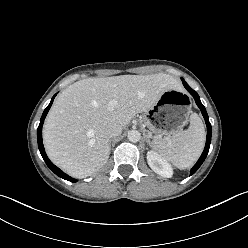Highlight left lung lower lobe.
I'll use <instances>...</instances> for the list:
<instances>
[{
    "label": "left lung lower lobe",
    "mask_w": 248,
    "mask_h": 248,
    "mask_svg": "<svg viewBox=\"0 0 248 248\" xmlns=\"http://www.w3.org/2000/svg\"><path fill=\"white\" fill-rule=\"evenodd\" d=\"M183 84L185 86V88L189 91V93L193 96V98L195 99V102L197 104V106L200 108L201 112H202V115L205 119V122H206V126H207V139H206V145H205V148H204V151L201 155V157L199 158V160L197 161V163L194 165V167L191 169V175L194 174L197 169L201 166V164L204 162L207 154H208V151H209V147H210V143H211V124L209 122V118H208V115H207V112H206V109L205 107L203 106V104L201 103L200 101V98H199V95L197 94L196 91H194L183 79Z\"/></svg>",
    "instance_id": "1"
}]
</instances>
